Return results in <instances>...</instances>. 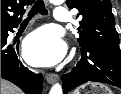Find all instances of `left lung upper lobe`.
I'll return each instance as SVG.
<instances>
[{"label": "left lung upper lobe", "instance_id": "5c2ea615", "mask_svg": "<svg viewBox=\"0 0 121 94\" xmlns=\"http://www.w3.org/2000/svg\"><path fill=\"white\" fill-rule=\"evenodd\" d=\"M66 4L70 9L79 10L78 43L81 48L93 45L119 47L110 0H67Z\"/></svg>", "mask_w": 121, "mask_h": 94}]
</instances>
